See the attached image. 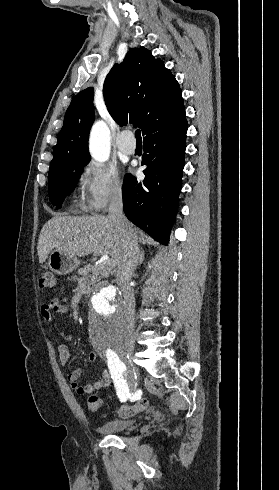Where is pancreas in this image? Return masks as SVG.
Here are the masks:
<instances>
[{"instance_id": "pancreas-1", "label": "pancreas", "mask_w": 279, "mask_h": 490, "mask_svg": "<svg viewBox=\"0 0 279 490\" xmlns=\"http://www.w3.org/2000/svg\"><path fill=\"white\" fill-rule=\"evenodd\" d=\"M114 266H108V264H102V266H84L81 270H78V274L90 280L91 284H96L100 282L101 278H107L109 272L113 270Z\"/></svg>"}]
</instances>
